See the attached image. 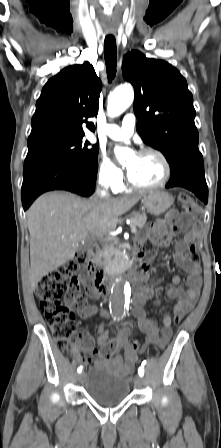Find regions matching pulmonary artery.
I'll use <instances>...</instances> for the list:
<instances>
[{"mask_svg": "<svg viewBox=\"0 0 221 448\" xmlns=\"http://www.w3.org/2000/svg\"><path fill=\"white\" fill-rule=\"evenodd\" d=\"M135 120V116L129 113L124 116L122 126L107 124L103 128V132L113 140L127 139L134 133Z\"/></svg>", "mask_w": 221, "mask_h": 448, "instance_id": "pulmonary-artery-1", "label": "pulmonary artery"}]
</instances>
